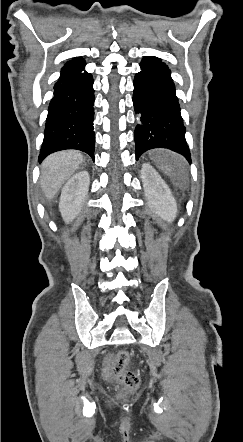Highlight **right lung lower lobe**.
I'll list each match as a JSON object with an SVG mask.
<instances>
[{"label":"right lung lower lobe","instance_id":"right-lung-lower-lobe-1","mask_svg":"<svg viewBox=\"0 0 243 442\" xmlns=\"http://www.w3.org/2000/svg\"><path fill=\"white\" fill-rule=\"evenodd\" d=\"M84 67L85 61L82 58L67 62L54 85L40 162L49 154L64 149H78L94 159L93 78Z\"/></svg>","mask_w":243,"mask_h":442}]
</instances>
